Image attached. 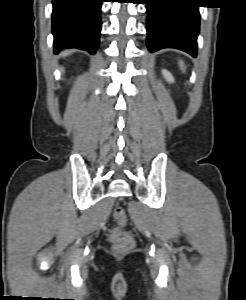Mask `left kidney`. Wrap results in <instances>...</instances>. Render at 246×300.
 Returning a JSON list of instances; mask_svg holds the SVG:
<instances>
[{
    "label": "left kidney",
    "mask_w": 246,
    "mask_h": 300,
    "mask_svg": "<svg viewBox=\"0 0 246 300\" xmlns=\"http://www.w3.org/2000/svg\"><path fill=\"white\" fill-rule=\"evenodd\" d=\"M162 74L168 82H170V83L174 82L173 76L167 70H165V69L162 70Z\"/></svg>",
    "instance_id": "left-kidney-1"
}]
</instances>
